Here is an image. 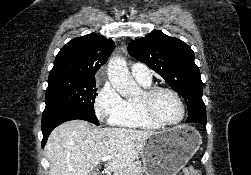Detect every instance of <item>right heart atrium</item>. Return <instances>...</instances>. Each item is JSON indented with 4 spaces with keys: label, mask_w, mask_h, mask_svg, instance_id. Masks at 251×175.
I'll list each match as a JSON object with an SVG mask.
<instances>
[{
    "label": "right heart atrium",
    "mask_w": 251,
    "mask_h": 175,
    "mask_svg": "<svg viewBox=\"0 0 251 175\" xmlns=\"http://www.w3.org/2000/svg\"><path fill=\"white\" fill-rule=\"evenodd\" d=\"M98 83L100 87L93 101L95 115L102 122L117 124L125 113L126 101L103 75L99 77Z\"/></svg>",
    "instance_id": "d8ad5b80"
}]
</instances>
